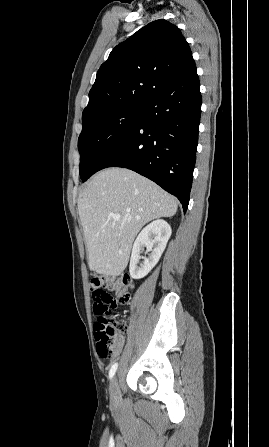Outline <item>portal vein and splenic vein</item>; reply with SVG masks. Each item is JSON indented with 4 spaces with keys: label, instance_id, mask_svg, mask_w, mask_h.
<instances>
[{
    "label": "portal vein and splenic vein",
    "instance_id": "obj_1",
    "mask_svg": "<svg viewBox=\"0 0 269 447\" xmlns=\"http://www.w3.org/2000/svg\"><path fill=\"white\" fill-rule=\"evenodd\" d=\"M114 222H118L120 220V216H112Z\"/></svg>",
    "mask_w": 269,
    "mask_h": 447
}]
</instances>
